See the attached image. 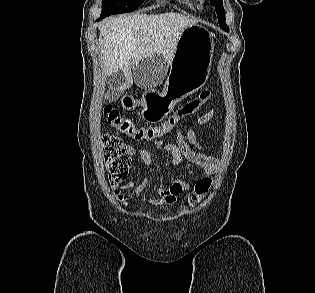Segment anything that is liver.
<instances>
[{"label":"liver","mask_w":315,"mask_h":293,"mask_svg":"<svg viewBox=\"0 0 315 293\" xmlns=\"http://www.w3.org/2000/svg\"><path fill=\"white\" fill-rule=\"evenodd\" d=\"M197 23L180 13L120 15L105 21L100 28L99 46L103 54L104 74L122 71L125 82L121 94L133 85L130 61L135 64L162 55L169 63L181 32Z\"/></svg>","instance_id":"1"}]
</instances>
